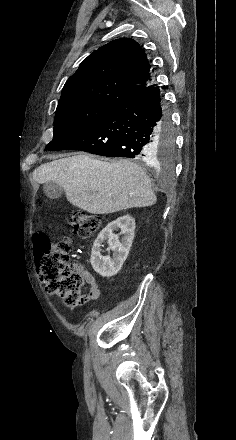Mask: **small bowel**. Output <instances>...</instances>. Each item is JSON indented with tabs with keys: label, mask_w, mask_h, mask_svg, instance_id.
Masks as SVG:
<instances>
[{
	"label": "small bowel",
	"mask_w": 236,
	"mask_h": 440,
	"mask_svg": "<svg viewBox=\"0 0 236 440\" xmlns=\"http://www.w3.org/2000/svg\"><path fill=\"white\" fill-rule=\"evenodd\" d=\"M75 265L82 272L86 283L89 285V292L85 296L86 301H93V300L98 299L101 294V290H100L94 276L89 271L85 270L81 264H75Z\"/></svg>",
	"instance_id": "1"
}]
</instances>
